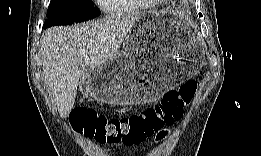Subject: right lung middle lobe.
<instances>
[{"label":"right lung middle lobe","mask_w":261,"mask_h":156,"mask_svg":"<svg viewBox=\"0 0 261 156\" xmlns=\"http://www.w3.org/2000/svg\"><path fill=\"white\" fill-rule=\"evenodd\" d=\"M100 15L90 0H52L44 28L93 19Z\"/></svg>","instance_id":"obj_1"}]
</instances>
